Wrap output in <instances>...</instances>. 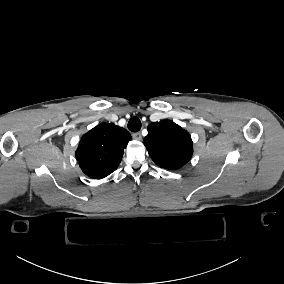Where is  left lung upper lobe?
<instances>
[{
  "label": "left lung upper lobe",
  "instance_id": "5c2ea615",
  "mask_svg": "<svg viewBox=\"0 0 284 284\" xmlns=\"http://www.w3.org/2000/svg\"><path fill=\"white\" fill-rule=\"evenodd\" d=\"M143 144L152 160L161 168L179 169L192 157L190 134L170 120L149 124Z\"/></svg>",
  "mask_w": 284,
  "mask_h": 284
}]
</instances>
